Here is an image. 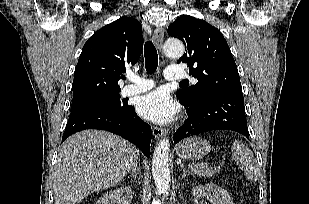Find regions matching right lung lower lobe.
Listing matches in <instances>:
<instances>
[{"label": "right lung lower lobe", "instance_id": "98d812e1", "mask_svg": "<svg viewBox=\"0 0 309 204\" xmlns=\"http://www.w3.org/2000/svg\"><path fill=\"white\" fill-rule=\"evenodd\" d=\"M85 129L117 134L135 144L146 157H150L151 127L137 116L133 106L126 105L121 111L92 108L71 112L62 141Z\"/></svg>", "mask_w": 309, "mask_h": 204}]
</instances>
